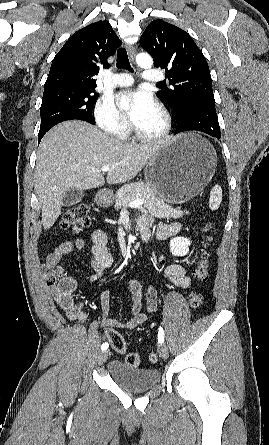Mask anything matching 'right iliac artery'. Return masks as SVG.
<instances>
[{"instance_id":"right-iliac-artery-1","label":"right iliac artery","mask_w":269,"mask_h":445,"mask_svg":"<svg viewBox=\"0 0 269 445\" xmlns=\"http://www.w3.org/2000/svg\"><path fill=\"white\" fill-rule=\"evenodd\" d=\"M108 347H109V344L107 342H105L102 344L101 350H107Z\"/></svg>"}]
</instances>
